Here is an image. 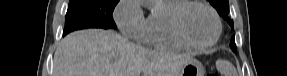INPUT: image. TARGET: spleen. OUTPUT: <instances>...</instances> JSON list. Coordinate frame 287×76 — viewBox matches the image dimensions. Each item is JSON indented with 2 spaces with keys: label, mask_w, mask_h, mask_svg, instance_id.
I'll return each instance as SVG.
<instances>
[{
  "label": "spleen",
  "mask_w": 287,
  "mask_h": 76,
  "mask_svg": "<svg viewBox=\"0 0 287 76\" xmlns=\"http://www.w3.org/2000/svg\"><path fill=\"white\" fill-rule=\"evenodd\" d=\"M216 67L223 76H236V70L229 61L218 60L216 62Z\"/></svg>",
  "instance_id": "obj_1"
}]
</instances>
